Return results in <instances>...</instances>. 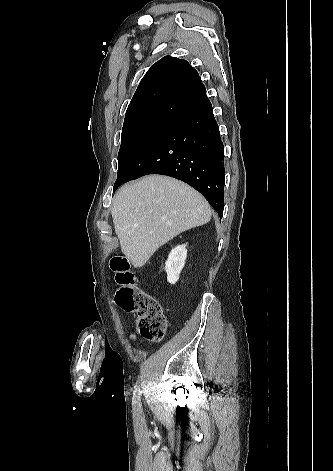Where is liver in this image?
<instances>
[{
    "label": "liver",
    "instance_id": "obj_1",
    "mask_svg": "<svg viewBox=\"0 0 333 471\" xmlns=\"http://www.w3.org/2000/svg\"><path fill=\"white\" fill-rule=\"evenodd\" d=\"M122 251L135 268L178 234L211 219L205 198L177 179L149 175L123 186L111 209Z\"/></svg>",
    "mask_w": 333,
    "mask_h": 471
}]
</instances>
